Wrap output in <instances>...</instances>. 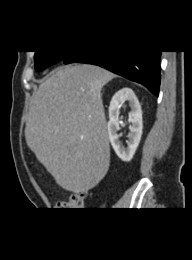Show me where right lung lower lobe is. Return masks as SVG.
<instances>
[{
    "instance_id": "obj_1",
    "label": "right lung lower lobe",
    "mask_w": 192,
    "mask_h": 260,
    "mask_svg": "<svg viewBox=\"0 0 192 260\" xmlns=\"http://www.w3.org/2000/svg\"><path fill=\"white\" fill-rule=\"evenodd\" d=\"M161 51H116L86 50L70 52L62 61L64 64L80 62L106 68L129 80L143 84L158 96L160 86Z\"/></svg>"
}]
</instances>
